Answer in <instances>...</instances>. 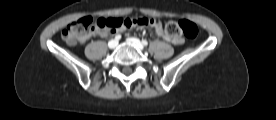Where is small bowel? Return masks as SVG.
Segmentation results:
<instances>
[{"mask_svg":"<svg viewBox=\"0 0 276 120\" xmlns=\"http://www.w3.org/2000/svg\"><path fill=\"white\" fill-rule=\"evenodd\" d=\"M151 27L154 29L155 33L159 36L162 37L165 41L170 42L174 45H179L183 42V39L180 36H175V37H171L169 36L162 27V24L159 20L155 19L153 20ZM94 34H99L100 36H106L108 34L107 31L104 32H96V33H92L87 35L84 39H82L81 41H86L88 40L92 35Z\"/></svg>","mask_w":276,"mask_h":120,"instance_id":"c3829d8e","label":"small bowel"}]
</instances>
